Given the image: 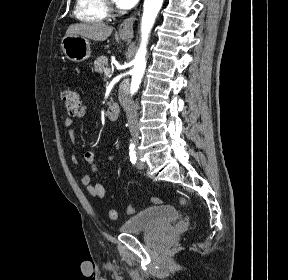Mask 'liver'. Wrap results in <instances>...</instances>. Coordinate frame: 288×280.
Segmentation results:
<instances>
[{
	"label": "liver",
	"instance_id": "obj_1",
	"mask_svg": "<svg viewBox=\"0 0 288 280\" xmlns=\"http://www.w3.org/2000/svg\"><path fill=\"white\" fill-rule=\"evenodd\" d=\"M112 31L113 28L104 23H77L68 27L66 35H80L94 41H105Z\"/></svg>",
	"mask_w": 288,
	"mask_h": 280
}]
</instances>
